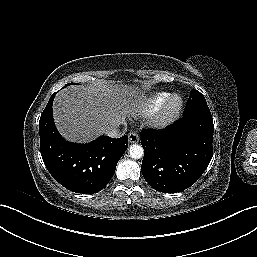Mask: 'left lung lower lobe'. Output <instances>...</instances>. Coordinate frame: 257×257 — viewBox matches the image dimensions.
<instances>
[{
	"label": "left lung lower lobe",
	"mask_w": 257,
	"mask_h": 257,
	"mask_svg": "<svg viewBox=\"0 0 257 257\" xmlns=\"http://www.w3.org/2000/svg\"><path fill=\"white\" fill-rule=\"evenodd\" d=\"M213 133L212 117L201 115L183 116L161 131H142L141 171L145 180L164 193L192 186L211 161Z\"/></svg>",
	"instance_id": "1"
}]
</instances>
